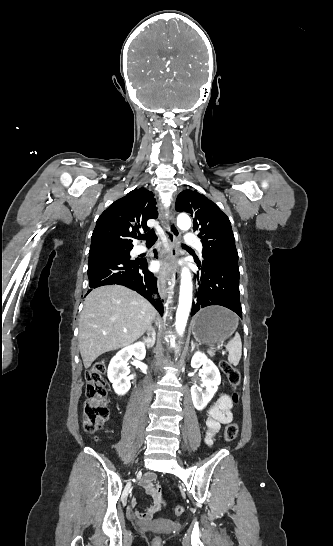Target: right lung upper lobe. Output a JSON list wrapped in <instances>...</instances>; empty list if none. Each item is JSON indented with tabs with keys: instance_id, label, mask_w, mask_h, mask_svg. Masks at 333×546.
Segmentation results:
<instances>
[{
	"instance_id": "1",
	"label": "right lung upper lobe",
	"mask_w": 333,
	"mask_h": 546,
	"mask_svg": "<svg viewBox=\"0 0 333 546\" xmlns=\"http://www.w3.org/2000/svg\"><path fill=\"white\" fill-rule=\"evenodd\" d=\"M158 211L151 191L134 189L113 202L98 218L91 237L90 250L109 247H133L139 228L148 230L147 220L156 219Z\"/></svg>"
}]
</instances>
